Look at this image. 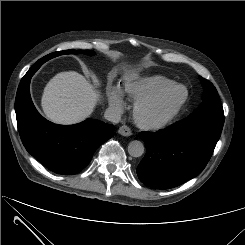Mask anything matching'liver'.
<instances>
[{
  "mask_svg": "<svg viewBox=\"0 0 245 245\" xmlns=\"http://www.w3.org/2000/svg\"><path fill=\"white\" fill-rule=\"evenodd\" d=\"M99 95L86 78L75 71L55 75L44 88L41 106L54 123L71 125L91 115Z\"/></svg>",
  "mask_w": 245,
  "mask_h": 245,
  "instance_id": "liver-1",
  "label": "liver"
}]
</instances>
